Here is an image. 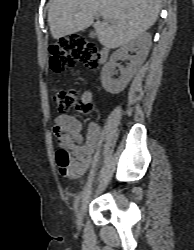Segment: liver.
Returning <instances> with one entry per match:
<instances>
[{
	"mask_svg": "<svg viewBox=\"0 0 194 250\" xmlns=\"http://www.w3.org/2000/svg\"><path fill=\"white\" fill-rule=\"evenodd\" d=\"M161 0H50L48 23L54 39L93 26L107 48L123 46L154 25ZM95 14L104 21L94 22Z\"/></svg>",
	"mask_w": 194,
	"mask_h": 250,
	"instance_id": "6515ba94",
	"label": "liver"
}]
</instances>
